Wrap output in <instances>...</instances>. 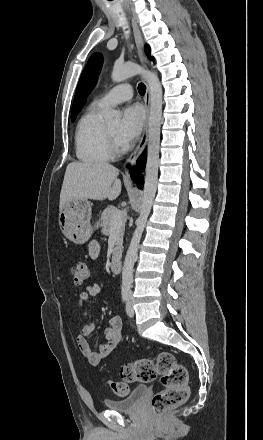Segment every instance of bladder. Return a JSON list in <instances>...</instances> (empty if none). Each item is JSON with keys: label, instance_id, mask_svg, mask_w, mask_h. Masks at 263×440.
Returning <instances> with one entry per match:
<instances>
[{"label": "bladder", "instance_id": "31cf9c89", "mask_svg": "<svg viewBox=\"0 0 263 440\" xmlns=\"http://www.w3.org/2000/svg\"><path fill=\"white\" fill-rule=\"evenodd\" d=\"M148 391L145 385L136 386L126 397L121 399H106L104 406L112 411H135Z\"/></svg>", "mask_w": 263, "mask_h": 440}]
</instances>
